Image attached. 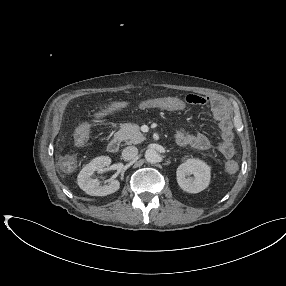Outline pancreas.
<instances>
[{"mask_svg": "<svg viewBox=\"0 0 286 286\" xmlns=\"http://www.w3.org/2000/svg\"><path fill=\"white\" fill-rule=\"evenodd\" d=\"M115 138L120 141H125L126 144H139L145 140L139 125L135 123L122 125L120 130L115 133Z\"/></svg>", "mask_w": 286, "mask_h": 286, "instance_id": "cf45deb5", "label": "pancreas"}]
</instances>
